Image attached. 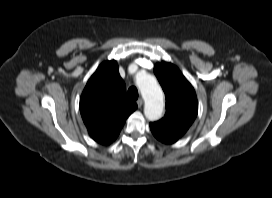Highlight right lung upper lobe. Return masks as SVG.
Returning a JSON list of instances; mask_svg holds the SVG:
<instances>
[{"label":"right lung upper lobe","mask_w":272,"mask_h":198,"mask_svg":"<svg viewBox=\"0 0 272 198\" xmlns=\"http://www.w3.org/2000/svg\"><path fill=\"white\" fill-rule=\"evenodd\" d=\"M137 104L128 99L117 62L105 61L87 82L80 98V113L90 136L107 145L119 135Z\"/></svg>","instance_id":"cb5924a9"}]
</instances>
